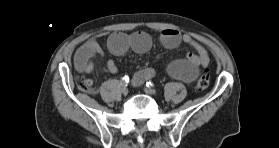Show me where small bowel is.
<instances>
[{
  "mask_svg": "<svg viewBox=\"0 0 279 148\" xmlns=\"http://www.w3.org/2000/svg\"><path fill=\"white\" fill-rule=\"evenodd\" d=\"M160 40L169 49L176 48L183 42L195 50V52L187 53L185 58L175 60L167 66V73L173 78L192 82L197 77L200 68L206 67L210 62V57L205 47L190 34H181L176 29H164L161 32ZM151 44L150 35L144 31H136L131 34L114 32L108 37L107 41L109 51L116 56H121L128 50L145 53L150 49ZM100 53H102V49L95 40L85 42L76 51V69L81 73H92L95 69L92 58ZM107 70L111 73L117 72V66L113 60L107 62ZM154 75L155 70L151 67L141 69L132 77V84L140 86Z\"/></svg>",
  "mask_w": 279,
  "mask_h": 148,
  "instance_id": "1",
  "label": "small bowel"
}]
</instances>
